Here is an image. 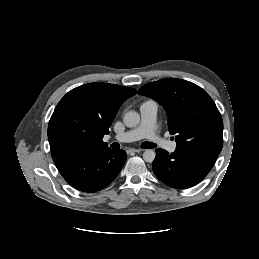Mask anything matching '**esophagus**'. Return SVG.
I'll return each mask as SVG.
<instances>
[{
    "instance_id": "34e87169",
    "label": "esophagus",
    "mask_w": 259,
    "mask_h": 259,
    "mask_svg": "<svg viewBox=\"0 0 259 259\" xmlns=\"http://www.w3.org/2000/svg\"><path fill=\"white\" fill-rule=\"evenodd\" d=\"M142 150L141 149H135V148H132V149H129V153H140Z\"/></svg>"
}]
</instances>
